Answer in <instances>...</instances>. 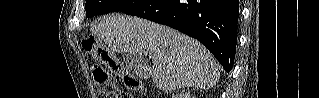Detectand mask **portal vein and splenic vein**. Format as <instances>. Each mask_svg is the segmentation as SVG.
<instances>
[{
	"label": "portal vein and splenic vein",
	"mask_w": 319,
	"mask_h": 98,
	"mask_svg": "<svg viewBox=\"0 0 319 98\" xmlns=\"http://www.w3.org/2000/svg\"><path fill=\"white\" fill-rule=\"evenodd\" d=\"M144 54H145V55H148V54H149V52H148V51H144Z\"/></svg>",
	"instance_id": "portal-vein-and-splenic-vein-1"
}]
</instances>
